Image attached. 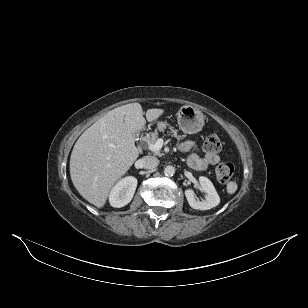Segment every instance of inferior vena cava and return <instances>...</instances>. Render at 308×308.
Listing matches in <instances>:
<instances>
[{
  "instance_id": "602c4592",
  "label": "inferior vena cava",
  "mask_w": 308,
  "mask_h": 308,
  "mask_svg": "<svg viewBox=\"0 0 308 308\" xmlns=\"http://www.w3.org/2000/svg\"><path fill=\"white\" fill-rule=\"evenodd\" d=\"M141 162L145 169L156 168L159 164V160L155 156H145L141 159Z\"/></svg>"
}]
</instances>
